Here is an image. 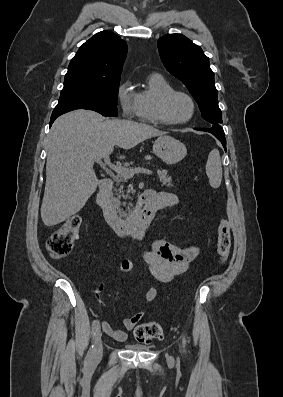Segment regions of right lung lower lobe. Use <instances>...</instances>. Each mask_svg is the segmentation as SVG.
<instances>
[{
	"instance_id": "1",
	"label": "right lung lower lobe",
	"mask_w": 283,
	"mask_h": 397,
	"mask_svg": "<svg viewBox=\"0 0 283 397\" xmlns=\"http://www.w3.org/2000/svg\"><path fill=\"white\" fill-rule=\"evenodd\" d=\"M72 110H74V109L54 110L53 113H52V115H51L50 126L52 125V123L55 121V119H56L57 117H59L60 115L66 113V112L72 111Z\"/></svg>"
}]
</instances>
